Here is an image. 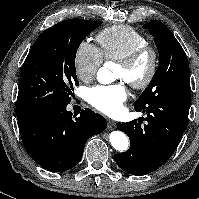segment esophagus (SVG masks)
<instances>
[{
	"label": "esophagus",
	"instance_id": "obj_1",
	"mask_svg": "<svg viewBox=\"0 0 199 199\" xmlns=\"http://www.w3.org/2000/svg\"><path fill=\"white\" fill-rule=\"evenodd\" d=\"M115 127H116V122L109 119V120L107 121V128L110 129V130H112V129H114Z\"/></svg>",
	"mask_w": 199,
	"mask_h": 199
}]
</instances>
